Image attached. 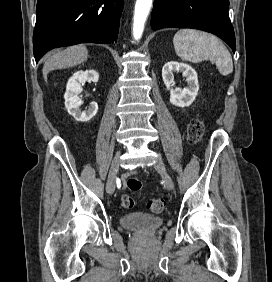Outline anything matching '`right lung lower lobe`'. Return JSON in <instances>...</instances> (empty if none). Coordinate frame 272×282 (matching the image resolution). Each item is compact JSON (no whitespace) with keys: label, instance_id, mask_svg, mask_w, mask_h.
<instances>
[{"label":"right lung lower lobe","instance_id":"obj_1","mask_svg":"<svg viewBox=\"0 0 272 282\" xmlns=\"http://www.w3.org/2000/svg\"><path fill=\"white\" fill-rule=\"evenodd\" d=\"M124 0H38L33 33L36 62L49 50L117 40Z\"/></svg>","mask_w":272,"mask_h":282}]
</instances>
